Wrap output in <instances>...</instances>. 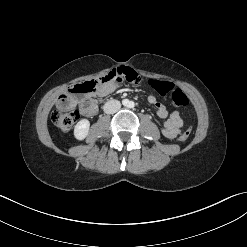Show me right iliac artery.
Wrapping results in <instances>:
<instances>
[{"label":"right iliac artery","mask_w":247,"mask_h":247,"mask_svg":"<svg viewBox=\"0 0 247 247\" xmlns=\"http://www.w3.org/2000/svg\"><path fill=\"white\" fill-rule=\"evenodd\" d=\"M128 103L127 100H123V104L126 105Z\"/></svg>","instance_id":"obj_1"}]
</instances>
